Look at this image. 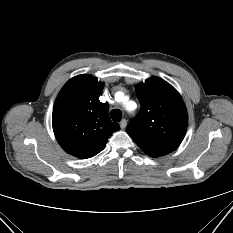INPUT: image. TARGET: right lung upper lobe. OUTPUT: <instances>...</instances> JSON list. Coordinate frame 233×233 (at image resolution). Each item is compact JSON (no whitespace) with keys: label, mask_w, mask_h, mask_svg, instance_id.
Instances as JSON below:
<instances>
[{"label":"right lung upper lobe","mask_w":233,"mask_h":233,"mask_svg":"<svg viewBox=\"0 0 233 233\" xmlns=\"http://www.w3.org/2000/svg\"><path fill=\"white\" fill-rule=\"evenodd\" d=\"M104 84L91 75L70 79L59 92L53 107V131L69 154L87 159L101 152L109 136L119 130L108 116V105L99 101Z\"/></svg>","instance_id":"obj_1"}]
</instances>
